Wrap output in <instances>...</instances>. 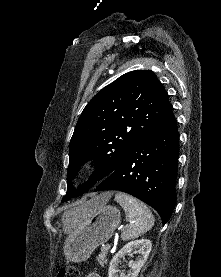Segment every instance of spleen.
I'll use <instances>...</instances> for the list:
<instances>
[{
  "instance_id": "spleen-1",
  "label": "spleen",
  "mask_w": 221,
  "mask_h": 277,
  "mask_svg": "<svg viewBox=\"0 0 221 277\" xmlns=\"http://www.w3.org/2000/svg\"><path fill=\"white\" fill-rule=\"evenodd\" d=\"M115 201L124 209L130 223L121 234L122 240L135 239L153 227L154 216L144 203L122 192L115 195Z\"/></svg>"
}]
</instances>
